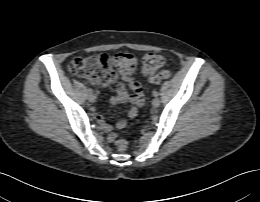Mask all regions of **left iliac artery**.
Masks as SVG:
<instances>
[{"label":"left iliac artery","mask_w":260,"mask_h":202,"mask_svg":"<svg viewBox=\"0 0 260 202\" xmlns=\"http://www.w3.org/2000/svg\"><path fill=\"white\" fill-rule=\"evenodd\" d=\"M153 95H154L155 97H157V96L159 95V92H158V91H154V92H153Z\"/></svg>","instance_id":"left-iliac-artery-1"}]
</instances>
